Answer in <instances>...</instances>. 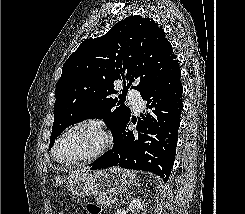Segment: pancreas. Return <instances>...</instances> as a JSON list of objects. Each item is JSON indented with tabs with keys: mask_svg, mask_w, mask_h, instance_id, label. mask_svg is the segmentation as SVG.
Listing matches in <instances>:
<instances>
[{
	"mask_svg": "<svg viewBox=\"0 0 245 214\" xmlns=\"http://www.w3.org/2000/svg\"><path fill=\"white\" fill-rule=\"evenodd\" d=\"M96 201L99 205L102 206H110L111 203V199L108 196H99L98 198H96Z\"/></svg>",
	"mask_w": 245,
	"mask_h": 214,
	"instance_id": "1",
	"label": "pancreas"
}]
</instances>
